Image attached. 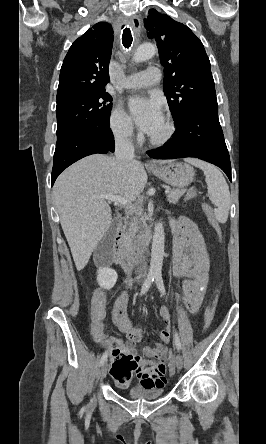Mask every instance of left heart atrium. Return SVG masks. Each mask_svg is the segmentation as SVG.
<instances>
[{
  "label": "left heart atrium",
  "mask_w": 266,
  "mask_h": 444,
  "mask_svg": "<svg viewBox=\"0 0 266 444\" xmlns=\"http://www.w3.org/2000/svg\"><path fill=\"white\" fill-rule=\"evenodd\" d=\"M129 108L137 126L151 135L164 121L160 102L155 98L133 97Z\"/></svg>",
  "instance_id": "left-heart-atrium-1"
}]
</instances>
